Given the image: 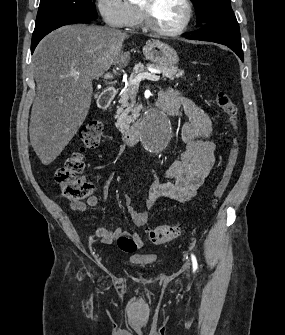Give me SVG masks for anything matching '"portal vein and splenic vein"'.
Wrapping results in <instances>:
<instances>
[{
  "mask_svg": "<svg viewBox=\"0 0 285 335\" xmlns=\"http://www.w3.org/2000/svg\"><path fill=\"white\" fill-rule=\"evenodd\" d=\"M150 72L151 74H148V72H143V74H137L135 78H132V80H130V84H139V82H141V80H144V78H146V80H151V82H158V80H160V76H155V74H161L162 70H154V68H152ZM103 78L104 80H113L115 76L114 74H105Z\"/></svg>",
  "mask_w": 285,
  "mask_h": 335,
  "instance_id": "obj_1",
  "label": "portal vein and splenic vein"
}]
</instances>
